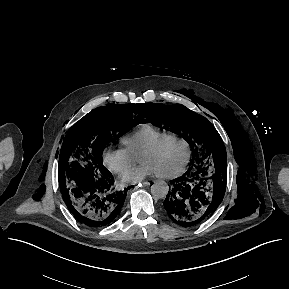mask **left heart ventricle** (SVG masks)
I'll return each instance as SVG.
<instances>
[{
    "label": "left heart ventricle",
    "instance_id": "b2bd125f",
    "mask_svg": "<svg viewBox=\"0 0 289 289\" xmlns=\"http://www.w3.org/2000/svg\"><path fill=\"white\" fill-rule=\"evenodd\" d=\"M186 148L178 140L165 142L157 151L139 158L141 163L151 165L157 174L171 173L179 169L186 158Z\"/></svg>",
    "mask_w": 289,
    "mask_h": 289
}]
</instances>
